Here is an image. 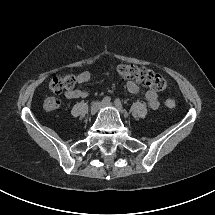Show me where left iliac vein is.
Segmentation results:
<instances>
[{"instance_id":"1","label":"left iliac vein","mask_w":215,"mask_h":215,"mask_svg":"<svg viewBox=\"0 0 215 215\" xmlns=\"http://www.w3.org/2000/svg\"><path fill=\"white\" fill-rule=\"evenodd\" d=\"M103 107H112V103L103 104Z\"/></svg>"}]
</instances>
